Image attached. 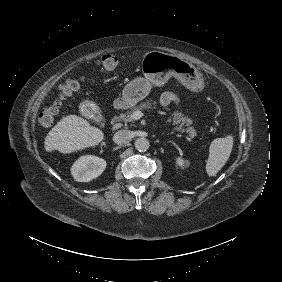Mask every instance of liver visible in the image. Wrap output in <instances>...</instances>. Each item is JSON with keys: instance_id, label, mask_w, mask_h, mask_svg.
<instances>
[{"instance_id": "obj_1", "label": "liver", "mask_w": 282, "mask_h": 282, "mask_svg": "<svg viewBox=\"0 0 282 282\" xmlns=\"http://www.w3.org/2000/svg\"><path fill=\"white\" fill-rule=\"evenodd\" d=\"M104 139L103 132L93 127L79 116L63 117L47 134L44 142L45 150H58L71 153L87 147L98 145Z\"/></svg>"}]
</instances>
